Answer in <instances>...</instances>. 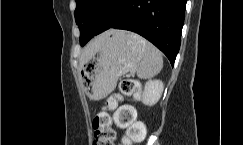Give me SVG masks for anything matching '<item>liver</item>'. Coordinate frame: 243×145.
<instances>
[{
  "label": "liver",
  "mask_w": 243,
  "mask_h": 145,
  "mask_svg": "<svg viewBox=\"0 0 243 145\" xmlns=\"http://www.w3.org/2000/svg\"><path fill=\"white\" fill-rule=\"evenodd\" d=\"M110 33L111 31H107L94 38L90 43L87 44L80 57L81 65H83L102 46Z\"/></svg>",
  "instance_id": "liver-1"
}]
</instances>
